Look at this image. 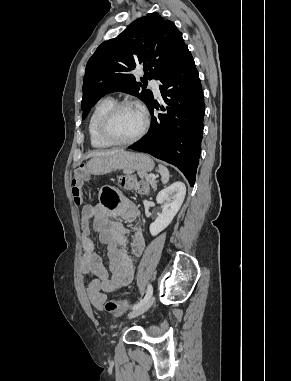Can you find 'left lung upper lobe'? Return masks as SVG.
<instances>
[{
	"mask_svg": "<svg viewBox=\"0 0 291 381\" xmlns=\"http://www.w3.org/2000/svg\"><path fill=\"white\" fill-rule=\"evenodd\" d=\"M186 48L175 24L158 13L135 20L119 36L102 43L89 59L83 83V116L101 97L115 91L134 95L148 106L153 94L131 71L141 64L145 71L142 82L159 79Z\"/></svg>",
	"mask_w": 291,
	"mask_h": 381,
	"instance_id": "obj_1",
	"label": "left lung upper lobe"
}]
</instances>
